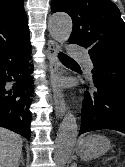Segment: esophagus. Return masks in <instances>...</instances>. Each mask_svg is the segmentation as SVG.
Here are the masks:
<instances>
[{
  "instance_id": "obj_1",
  "label": "esophagus",
  "mask_w": 125,
  "mask_h": 167,
  "mask_svg": "<svg viewBox=\"0 0 125 167\" xmlns=\"http://www.w3.org/2000/svg\"><path fill=\"white\" fill-rule=\"evenodd\" d=\"M48 58H49V73L51 79L57 76V73L60 68V64L57 58L59 52V45L55 40L50 39L48 41ZM53 101L55 106L56 116L61 118L65 112V98L64 94L58 88L54 87L53 89Z\"/></svg>"
}]
</instances>
